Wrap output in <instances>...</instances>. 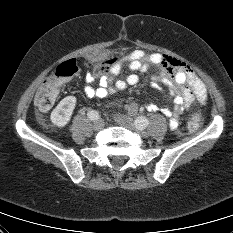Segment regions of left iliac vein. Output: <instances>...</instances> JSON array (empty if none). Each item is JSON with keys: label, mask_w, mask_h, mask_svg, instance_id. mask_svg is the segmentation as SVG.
<instances>
[{"label": "left iliac vein", "mask_w": 233, "mask_h": 233, "mask_svg": "<svg viewBox=\"0 0 233 233\" xmlns=\"http://www.w3.org/2000/svg\"><path fill=\"white\" fill-rule=\"evenodd\" d=\"M115 120L118 124L128 128L130 130L136 131L142 137L148 136L147 132H145L142 128L138 127L136 125V123L128 116L118 115L115 117Z\"/></svg>", "instance_id": "1"}]
</instances>
